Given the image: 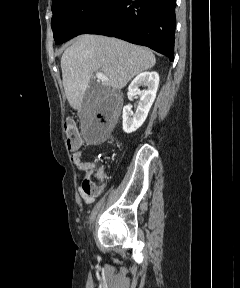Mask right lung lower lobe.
Returning <instances> with one entry per match:
<instances>
[{
	"instance_id": "obj_1",
	"label": "right lung lower lobe",
	"mask_w": 240,
	"mask_h": 288,
	"mask_svg": "<svg viewBox=\"0 0 240 288\" xmlns=\"http://www.w3.org/2000/svg\"><path fill=\"white\" fill-rule=\"evenodd\" d=\"M176 0H112L80 34L117 37L174 58Z\"/></svg>"
}]
</instances>
